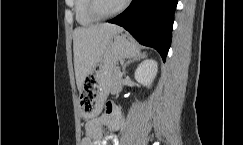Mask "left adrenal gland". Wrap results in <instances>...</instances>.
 Instances as JSON below:
<instances>
[{
  "label": "left adrenal gland",
  "instance_id": "obj_1",
  "mask_svg": "<svg viewBox=\"0 0 243 145\" xmlns=\"http://www.w3.org/2000/svg\"><path fill=\"white\" fill-rule=\"evenodd\" d=\"M144 57H146L145 54L140 55V56H138V57H135L134 59L129 60V61L124 65V67H123V73H124V74L126 73V67H127L128 65H130V64L133 63L134 61H137V60H139V59H141V58H144Z\"/></svg>",
  "mask_w": 243,
  "mask_h": 145
}]
</instances>
